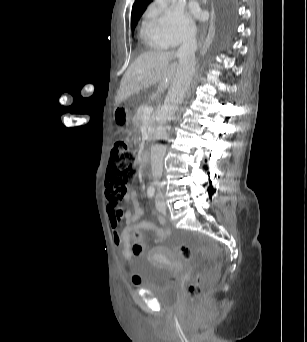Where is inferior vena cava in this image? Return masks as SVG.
Segmentation results:
<instances>
[{
  "label": "inferior vena cava",
  "instance_id": "inferior-vena-cava-1",
  "mask_svg": "<svg viewBox=\"0 0 307 342\" xmlns=\"http://www.w3.org/2000/svg\"><path fill=\"white\" fill-rule=\"evenodd\" d=\"M196 34L197 32L195 28H189L183 40V44L180 46L176 54V56H179L177 74L165 98V106H169V110L166 114L167 120H172L177 104H182L183 98H185L186 92H188L189 86L193 80L196 66ZM160 136L163 138V140H167V134L164 128H161ZM165 152L166 146H160V148H151V170L154 180L153 184H156V186H161V182H159V180L163 172V160Z\"/></svg>",
  "mask_w": 307,
  "mask_h": 342
}]
</instances>
